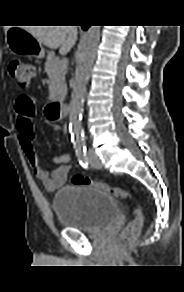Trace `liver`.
Masks as SVG:
<instances>
[{
    "label": "liver",
    "instance_id": "liver-1",
    "mask_svg": "<svg viewBox=\"0 0 184 292\" xmlns=\"http://www.w3.org/2000/svg\"><path fill=\"white\" fill-rule=\"evenodd\" d=\"M24 29L46 47L51 49L60 47V53L63 55L71 50L78 35L76 26H30Z\"/></svg>",
    "mask_w": 184,
    "mask_h": 292
}]
</instances>
